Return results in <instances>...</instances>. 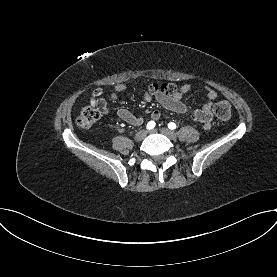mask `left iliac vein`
Wrapping results in <instances>:
<instances>
[{
	"label": "left iliac vein",
	"mask_w": 277,
	"mask_h": 277,
	"mask_svg": "<svg viewBox=\"0 0 277 277\" xmlns=\"http://www.w3.org/2000/svg\"><path fill=\"white\" fill-rule=\"evenodd\" d=\"M157 130L150 131L151 133H155ZM160 132L170 138L171 140H176L177 136L176 133L168 128H161Z\"/></svg>",
	"instance_id": "left-iliac-vein-1"
}]
</instances>
